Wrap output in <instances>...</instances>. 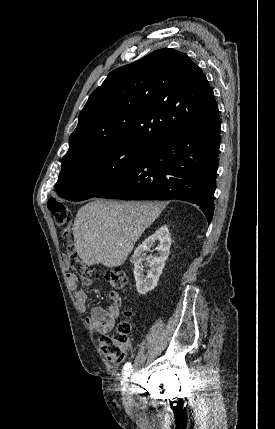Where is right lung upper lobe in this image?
I'll return each instance as SVG.
<instances>
[{"label":"right lung upper lobe","instance_id":"obj_1","mask_svg":"<svg viewBox=\"0 0 275 429\" xmlns=\"http://www.w3.org/2000/svg\"><path fill=\"white\" fill-rule=\"evenodd\" d=\"M219 117L202 70L172 48L110 72L90 95L62 164L116 144L150 146L176 130Z\"/></svg>","mask_w":275,"mask_h":429}]
</instances>
